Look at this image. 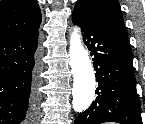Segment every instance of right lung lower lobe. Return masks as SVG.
I'll use <instances>...</instances> for the list:
<instances>
[{
  "mask_svg": "<svg viewBox=\"0 0 145 124\" xmlns=\"http://www.w3.org/2000/svg\"><path fill=\"white\" fill-rule=\"evenodd\" d=\"M39 31L0 38V124H22L38 103Z\"/></svg>",
  "mask_w": 145,
  "mask_h": 124,
  "instance_id": "98d812e1",
  "label": "right lung lower lobe"
}]
</instances>
